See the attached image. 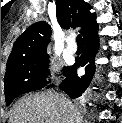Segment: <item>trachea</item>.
<instances>
[{"label":"trachea","mask_w":122,"mask_h":123,"mask_svg":"<svg viewBox=\"0 0 122 123\" xmlns=\"http://www.w3.org/2000/svg\"><path fill=\"white\" fill-rule=\"evenodd\" d=\"M77 43H78V45H83L84 44L83 43V38L80 34L77 36Z\"/></svg>","instance_id":"3493384b"}]
</instances>
